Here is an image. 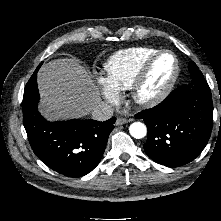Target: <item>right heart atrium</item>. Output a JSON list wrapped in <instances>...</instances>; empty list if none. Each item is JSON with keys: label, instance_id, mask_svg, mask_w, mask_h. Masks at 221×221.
Masks as SVG:
<instances>
[{"label": "right heart atrium", "instance_id": "obj_1", "mask_svg": "<svg viewBox=\"0 0 221 221\" xmlns=\"http://www.w3.org/2000/svg\"><path fill=\"white\" fill-rule=\"evenodd\" d=\"M98 83L101 87L104 98L111 104L119 101V91L109 82L106 77H98Z\"/></svg>", "mask_w": 221, "mask_h": 221}]
</instances>
